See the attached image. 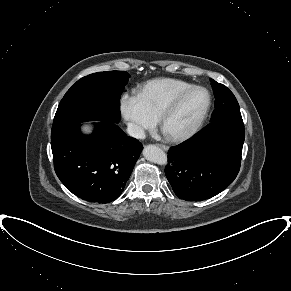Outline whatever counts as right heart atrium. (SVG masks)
Returning <instances> with one entry per match:
<instances>
[{
    "mask_svg": "<svg viewBox=\"0 0 291 291\" xmlns=\"http://www.w3.org/2000/svg\"><path fill=\"white\" fill-rule=\"evenodd\" d=\"M120 109L133 136L140 138L146 130L152 129L156 119L147 112L137 96L124 94L120 100Z\"/></svg>",
    "mask_w": 291,
    "mask_h": 291,
    "instance_id": "right-heart-atrium-1",
    "label": "right heart atrium"
}]
</instances>
